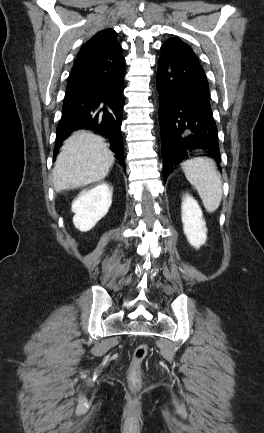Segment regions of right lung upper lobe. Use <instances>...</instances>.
<instances>
[{
    "label": "right lung upper lobe",
    "instance_id": "cb5924a9",
    "mask_svg": "<svg viewBox=\"0 0 264 433\" xmlns=\"http://www.w3.org/2000/svg\"><path fill=\"white\" fill-rule=\"evenodd\" d=\"M90 58H101L112 62L123 59L121 46L116 39V32L113 29H104L85 43L78 53L77 59ZM54 152H57L55 148Z\"/></svg>",
    "mask_w": 264,
    "mask_h": 433
}]
</instances>
